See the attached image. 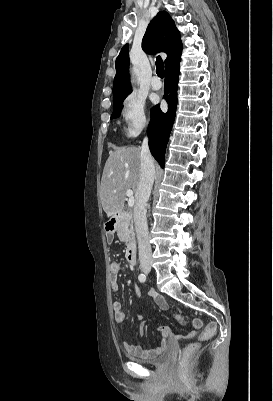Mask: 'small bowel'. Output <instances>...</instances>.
<instances>
[{"mask_svg": "<svg viewBox=\"0 0 273 401\" xmlns=\"http://www.w3.org/2000/svg\"><path fill=\"white\" fill-rule=\"evenodd\" d=\"M123 270V265L120 261H113L110 264V283H111V288L114 294H117L119 292V274ZM134 294L138 297L140 295V289L135 286L133 288ZM152 301L154 304L160 308L161 310H168L169 309V304L165 300V298L157 293L150 292L149 293ZM112 309H113V315H114V321L118 324H122L126 322L127 320V312L125 311L122 303L120 301H114L112 304ZM178 310V309H177ZM182 316H185V313H182ZM138 319L142 318V315L140 313L137 314ZM159 331L163 337V341L160 344V346L156 349V353H160L163 351L168 350L171 347L172 344V338H173V333L172 330L169 326H161L159 328ZM196 331V330H195ZM195 331H192L190 333V336L192 338H195L197 336V333ZM122 348L124 352L130 353V354H139L142 356H152L154 353L152 352H147L144 351L138 347H135L133 345H130L129 343H123Z\"/></svg>", "mask_w": 273, "mask_h": 401, "instance_id": "small-bowel-1", "label": "small bowel"}]
</instances>
